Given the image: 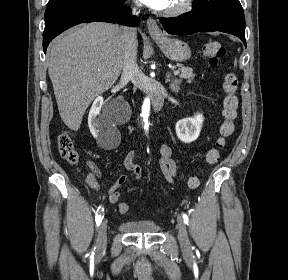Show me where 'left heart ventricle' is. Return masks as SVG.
Returning <instances> with one entry per match:
<instances>
[{"mask_svg":"<svg viewBox=\"0 0 288 280\" xmlns=\"http://www.w3.org/2000/svg\"><path fill=\"white\" fill-rule=\"evenodd\" d=\"M182 0H170V3L167 7V9H171L175 6H177Z\"/></svg>","mask_w":288,"mask_h":280,"instance_id":"left-heart-ventricle-1","label":"left heart ventricle"}]
</instances>
